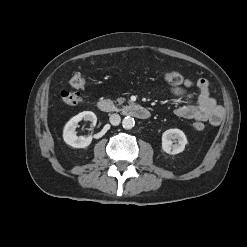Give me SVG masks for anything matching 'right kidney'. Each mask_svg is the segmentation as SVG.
<instances>
[{"label":"right kidney","instance_id":"ca27d5eb","mask_svg":"<svg viewBox=\"0 0 247 247\" xmlns=\"http://www.w3.org/2000/svg\"><path fill=\"white\" fill-rule=\"evenodd\" d=\"M91 121L93 126L96 125L97 117L91 111L81 112L74 117H72L65 125L63 130V139L66 144L74 147V148H86L92 142L91 136H77L76 127L78 122L81 120Z\"/></svg>","mask_w":247,"mask_h":247}]
</instances>
